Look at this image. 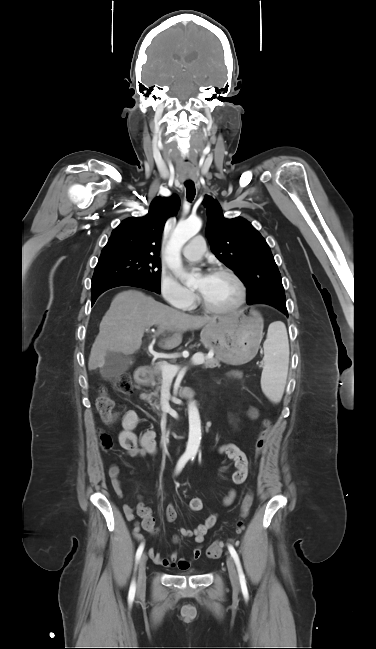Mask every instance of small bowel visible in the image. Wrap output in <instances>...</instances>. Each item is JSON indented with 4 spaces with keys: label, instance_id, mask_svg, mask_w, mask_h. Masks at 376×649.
Returning a JSON list of instances; mask_svg holds the SVG:
<instances>
[{
    "label": "small bowel",
    "instance_id": "c3829d8e",
    "mask_svg": "<svg viewBox=\"0 0 376 649\" xmlns=\"http://www.w3.org/2000/svg\"><path fill=\"white\" fill-rule=\"evenodd\" d=\"M140 418L135 410H128L122 418V430L118 434V443L126 453L131 457H144L146 455H154L157 452L156 434L152 430L145 431L141 436L136 434V429L139 425ZM219 452L227 455L234 460L235 471L232 474V481L234 484H242L248 475V460L245 454L235 445L228 444L219 447ZM120 469L117 465H112L108 469V476L110 478L111 487L115 495L122 498L124 495L123 486L119 478ZM234 498V492H231L226 498V502L230 503ZM138 504L132 508L128 504H123L122 510L125 518L128 521H134L133 535L138 541L143 540L140 533L141 528L145 531L156 534L158 529L155 527V520L152 516L151 509L144 505L142 497L138 496ZM203 507L200 499H192L189 502L191 511H200ZM136 515L141 518V522L136 521ZM165 516L169 522H174L177 519V511L173 504H169L165 509ZM218 516L215 513L209 514L205 521L197 525L194 529L181 527L179 533L183 537L193 538L196 547L190 554L180 557L177 552L172 553L169 557H162L154 548L149 549L148 555L151 560L160 566L173 568L178 567L181 570L188 569L196 560L201 557V546L204 542L205 535L217 522ZM174 542L179 541L178 537H174ZM143 544V543H141Z\"/></svg>",
    "mask_w": 376,
    "mask_h": 649
}]
</instances>
